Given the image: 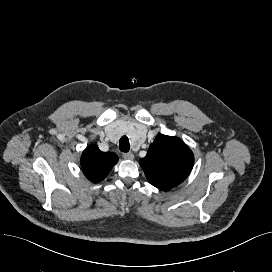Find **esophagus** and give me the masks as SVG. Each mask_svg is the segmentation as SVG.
I'll list each match as a JSON object with an SVG mask.
<instances>
[{
    "label": "esophagus",
    "instance_id": "34e87169",
    "mask_svg": "<svg viewBox=\"0 0 272 272\" xmlns=\"http://www.w3.org/2000/svg\"><path fill=\"white\" fill-rule=\"evenodd\" d=\"M123 158L126 160H133L134 159V154L129 152V153H124Z\"/></svg>",
    "mask_w": 272,
    "mask_h": 272
}]
</instances>
